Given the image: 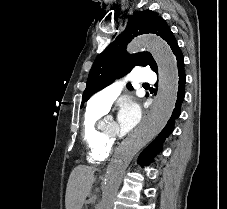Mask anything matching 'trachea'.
Masks as SVG:
<instances>
[{"label": "trachea", "mask_w": 227, "mask_h": 209, "mask_svg": "<svg viewBox=\"0 0 227 209\" xmlns=\"http://www.w3.org/2000/svg\"><path fill=\"white\" fill-rule=\"evenodd\" d=\"M144 86L149 87V84H144Z\"/></svg>", "instance_id": "3493384b"}]
</instances>
